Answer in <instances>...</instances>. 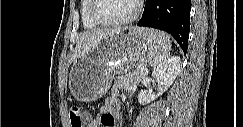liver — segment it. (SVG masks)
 <instances>
[{
	"label": "liver",
	"mask_w": 243,
	"mask_h": 127,
	"mask_svg": "<svg viewBox=\"0 0 243 127\" xmlns=\"http://www.w3.org/2000/svg\"><path fill=\"white\" fill-rule=\"evenodd\" d=\"M123 28H113V29H97L82 33L76 44V49L74 54L71 55L68 65L71 64L78 56L89 52L93 47H95L99 41L108 36L119 32Z\"/></svg>",
	"instance_id": "1"
}]
</instances>
